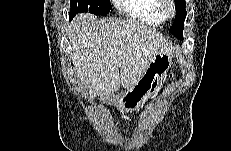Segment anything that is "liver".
Segmentation results:
<instances>
[{"label":"liver","mask_w":231,"mask_h":151,"mask_svg":"<svg viewBox=\"0 0 231 151\" xmlns=\"http://www.w3.org/2000/svg\"><path fill=\"white\" fill-rule=\"evenodd\" d=\"M68 36L81 85L100 97L114 94L121 85L131 89L153 56L173 51L156 29L131 20L78 14Z\"/></svg>","instance_id":"1"}]
</instances>
